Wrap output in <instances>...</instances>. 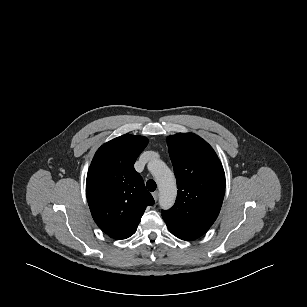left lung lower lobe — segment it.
I'll return each instance as SVG.
<instances>
[{"mask_svg":"<svg viewBox=\"0 0 307 307\" xmlns=\"http://www.w3.org/2000/svg\"><path fill=\"white\" fill-rule=\"evenodd\" d=\"M178 237V236H177ZM180 239H183V240H185L184 238H181V237H179Z\"/></svg>","mask_w":307,"mask_h":307,"instance_id":"obj_1","label":"left lung lower lobe"}]
</instances>
